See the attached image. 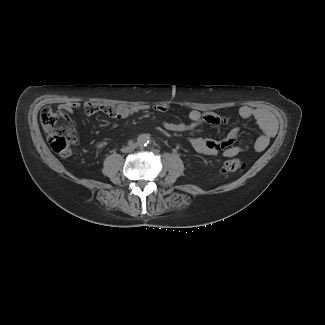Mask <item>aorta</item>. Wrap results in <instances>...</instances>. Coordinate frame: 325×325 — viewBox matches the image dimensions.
<instances>
[{"instance_id":"obj_1","label":"aorta","mask_w":325,"mask_h":325,"mask_svg":"<svg viewBox=\"0 0 325 325\" xmlns=\"http://www.w3.org/2000/svg\"><path fill=\"white\" fill-rule=\"evenodd\" d=\"M150 142V137L147 134H141L137 138V144L139 147H146Z\"/></svg>"}]
</instances>
